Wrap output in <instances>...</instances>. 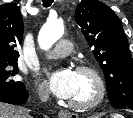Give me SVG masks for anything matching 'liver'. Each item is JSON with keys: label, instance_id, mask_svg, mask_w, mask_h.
<instances>
[{"label": "liver", "instance_id": "1", "mask_svg": "<svg viewBox=\"0 0 133 118\" xmlns=\"http://www.w3.org/2000/svg\"><path fill=\"white\" fill-rule=\"evenodd\" d=\"M0 118H31L26 108L0 102Z\"/></svg>", "mask_w": 133, "mask_h": 118}]
</instances>
